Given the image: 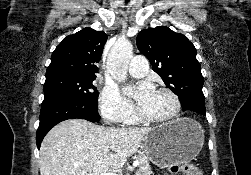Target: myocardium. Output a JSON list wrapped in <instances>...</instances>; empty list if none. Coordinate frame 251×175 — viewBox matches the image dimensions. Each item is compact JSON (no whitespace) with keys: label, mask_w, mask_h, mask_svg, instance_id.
<instances>
[{"label":"myocardium","mask_w":251,"mask_h":175,"mask_svg":"<svg viewBox=\"0 0 251 175\" xmlns=\"http://www.w3.org/2000/svg\"><path fill=\"white\" fill-rule=\"evenodd\" d=\"M156 90L160 91V92H166L171 96V98L175 104L174 114L168 118H157V117L143 114L141 111H139L140 118H142L148 122L160 124V125H168V124H172V123L178 121L183 114V104H182V100L180 98V95L173 88H170L167 86L158 87Z\"/></svg>","instance_id":"1"}]
</instances>
